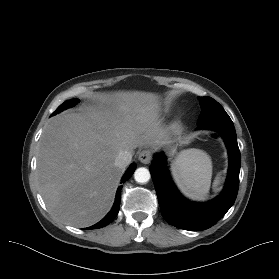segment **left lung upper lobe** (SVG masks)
<instances>
[{
	"label": "left lung upper lobe",
	"instance_id": "obj_1",
	"mask_svg": "<svg viewBox=\"0 0 279 279\" xmlns=\"http://www.w3.org/2000/svg\"><path fill=\"white\" fill-rule=\"evenodd\" d=\"M202 105L197 124H203L212 121H231L228 114L222 106L211 97H199Z\"/></svg>",
	"mask_w": 279,
	"mask_h": 279
}]
</instances>
